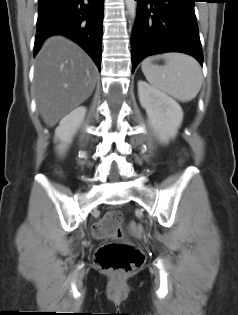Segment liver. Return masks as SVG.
<instances>
[{"instance_id": "6515ba94", "label": "liver", "mask_w": 238, "mask_h": 315, "mask_svg": "<svg viewBox=\"0 0 238 315\" xmlns=\"http://www.w3.org/2000/svg\"><path fill=\"white\" fill-rule=\"evenodd\" d=\"M97 68L85 51L63 36L49 37L35 62L34 86L41 117L49 127L87 100Z\"/></svg>"}]
</instances>
